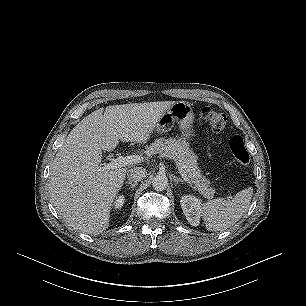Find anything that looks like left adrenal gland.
Returning a JSON list of instances; mask_svg holds the SVG:
<instances>
[{"mask_svg":"<svg viewBox=\"0 0 306 306\" xmlns=\"http://www.w3.org/2000/svg\"><path fill=\"white\" fill-rule=\"evenodd\" d=\"M173 181L175 183V185H178L179 183H184V180H182L181 178L178 177H173Z\"/></svg>","mask_w":306,"mask_h":306,"instance_id":"a2214340","label":"left adrenal gland"}]
</instances>
